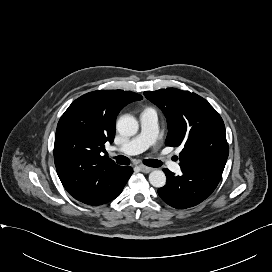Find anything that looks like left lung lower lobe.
Listing matches in <instances>:
<instances>
[{
  "instance_id": "left-lung-lower-lobe-1",
  "label": "left lung lower lobe",
  "mask_w": 272,
  "mask_h": 272,
  "mask_svg": "<svg viewBox=\"0 0 272 272\" xmlns=\"http://www.w3.org/2000/svg\"><path fill=\"white\" fill-rule=\"evenodd\" d=\"M163 170L167 182L158 190V194L168 205L177 209L193 207L208 198L223 173V170L203 167H181L182 175L175 176L168 169Z\"/></svg>"
}]
</instances>
